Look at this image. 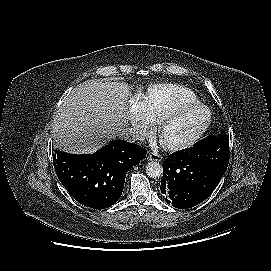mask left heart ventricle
Instances as JSON below:
<instances>
[{"label": "left heart ventricle", "mask_w": 271, "mask_h": 271, "mask_svg": "<svg viewBox=\"0 0 271 271\" xmlns=\"http://www.w3.org/2000/svg\"><path fill=\"white\" fill-rule=\"evenodd\" d=\"M206 118L207 114L203 109L187 112L167 124L163 132V139L169 143L186 140L199 129Z\"/></svg>", "instance_id": "left-heart-ventricle-1"}]
</instances>
